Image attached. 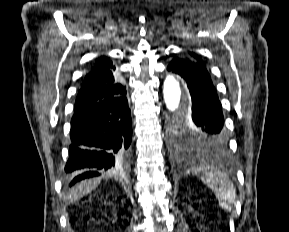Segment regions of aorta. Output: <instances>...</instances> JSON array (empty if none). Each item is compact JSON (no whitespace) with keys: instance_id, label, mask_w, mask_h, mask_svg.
I'll return each mask as SVG.
<instances>
[{"instance_id":"1","label":"aorta","mask_w":289,"mask_h":232,"mask_svg":"<svg viewBox=\"0 0 289 232\" xmlns=\"http://www.w3.org/2000/svg\"><path fill=\"white\" fill-rule=\"evenodd\" d=\"M164 101L167 109L173 114V119L187 117L191 103L183 93L180 83L173 75H168L163 85Z\"/></svg>"}]
</instances>
